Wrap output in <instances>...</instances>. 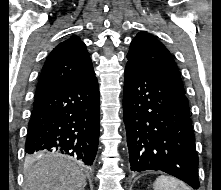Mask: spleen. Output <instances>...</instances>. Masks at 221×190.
Segmentation results:
<instances>
[{
    "mask_svg": "<svg viewBox=\"0 0 221 190\" xmlns=\"http://www.w3.org/2000/svg\"><path fill=\"white\" fill-rule=\"evenodd\" d=\"M154 190H190V188L180 180L170 176H159L153 184Z\"/></svg>",
    "mask_w": 221,
    "mask_h": 190,
    "instance_id": "spleen-1",
    "label": "spleen"
}]
</instances>
